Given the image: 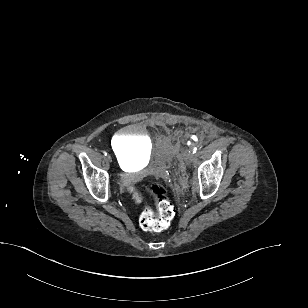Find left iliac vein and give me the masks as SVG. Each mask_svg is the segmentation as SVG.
Returning <instances> with one entry per match:
<instances>
[{"instance_id": "left-iliac-vein-1", "label": "left iliac vein", "mask_w": 308, "mask_h": 308, "mask_svg": "<svg viewBox=\"0 0 308 308\" xmlns=\"http://www.w3.org/2000/svg\"><path fill=\"white\" fill-rule=\"evenodd\" d=\"M183 158L185 160V162H191L194 158V154L192 153V151L190 150H186L184 153H183Z\"/></svg>"}]
</instances>
